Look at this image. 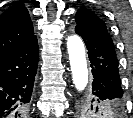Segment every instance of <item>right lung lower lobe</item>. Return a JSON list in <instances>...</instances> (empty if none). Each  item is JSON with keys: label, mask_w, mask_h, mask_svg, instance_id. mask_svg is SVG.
<instances>
[{"label": "right lung lower lobe", "mask_w": 133, "mask_h": 118, "mask_svg": "<svg viewBox=\"0 0 133 118\" xmlns=\"http://www.w3.org/2000/svg\"><path fill=\"white\" fill-rule=\"evenodd\" d=\"M38 60L37 39L0 58V118L24 117Z\"/></svg>", "instance_id": "right-lung-lower-lobe-1"}]
</instances>
